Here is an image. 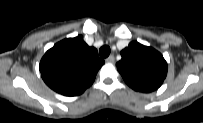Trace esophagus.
Here are the masks:
<instances>
[{
  "label": "esophagus",
  "mask_w": 203,
  "mask_h": 123,
  "mask_svg": "<svg viewBox=\"0 0 203 123\" xmlns=\"http://www.w3.org/2000/svg\"><path fill=\"white\" fill-rule=\"evenodd\" d=\"M108 63H113L115 61V57L113 55H110L108 58L105 59Z\"/></svg>",
  "instance_id": "obj_1"
}]
</instances>
